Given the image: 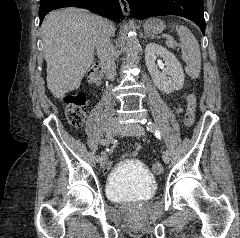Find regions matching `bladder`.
Listing matches in <instances>:
<instances>
[{"mask_svg":"<svg viewBox=\"0 0 240 238\" xmlns=\"http://www.w3.org/2000/svg\"><path fill=\"white\" fill-rule=\"evenodd\" d=\"M156 189L154 176L135 159L119 163L106 182L108 198L119 203L147 201L154 196Z\"/></svg>","mask_w":240,"mask_h":238,"instance_id":"31cf9c89","label":"bladder"}]
</instances>
